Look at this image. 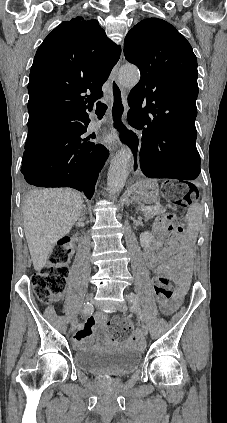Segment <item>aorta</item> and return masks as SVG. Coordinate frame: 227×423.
Wrapping results in <instances>:
<instances>
[{
    "instance_id": "obj_1",
    "label": "aorta",
    "mask_w": 227,
    "mask_h": 423,
    "mask_svg": "<svg viewBox=\"0 0 227 423\" xmlns=\"http://www.w3.org/2000/svg\"><path fill=\"white\" fill-rule=\"evenodd\" d=\"M140 77L139 70L134 66H123L119 72V81L124 86H134ZM130 153L126 150L119 151L111 160L108 175L107 187L110 194L122 190L130 170Z\"/></svg>"
}]
</instances>
